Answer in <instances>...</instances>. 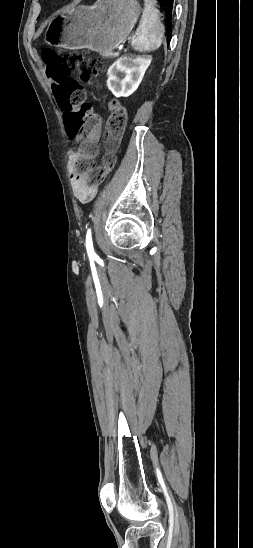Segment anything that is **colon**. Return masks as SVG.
Masks as SVG:
<instances>
[{
    "instance_id": "5ec220e1",
    "label": "colon",
    "mask_w": 253,
    "mask_h": 548,
    "mask_svg": "<svg viewBox=\"0 0 253 548\" xmlns=\"http://www.w3.org/2000/svg\"><path fill=\"white\" fill-rule=\"evenodd\" d=\"M42 59L44 72L51 83V95L56 98L63 111L67 137L82 136V142L74 161V171L83 175L90 184H101L115 165V153L121 141L127 120V112L117 100L108 102L109 115L105 123L106 152L102 163L96 165L94 158L102 130L101 117L92 111L85 101L83 87L71 76L73 70L82 83L93 84L103 69V63L80 52H57L44 50Z\"/></svg>"
}]
</instances>
